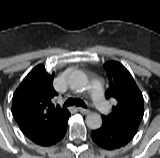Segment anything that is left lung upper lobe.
Instances as JSON below:
<instances>
[{
  "label": "left lung upper lobe",
  "instance_id": "1",
  "mask_svg": "<svg viewBox=\"0 0 160 158\" xmlns=\"http://www.w3.org/2000/svg\"><path fill=\"white\" fill-rule=\"evenodd\" d=\"M105 67L110 81L105 96L114 106L109 115L102 117L103 122L135 135L144 114L142 93L123 65L109 62Z\"/></svg>",
  "mask_w": 160,
  "mask_h": 158
}]
</instances>
